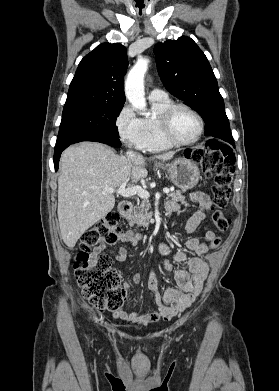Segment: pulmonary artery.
<instances>
[{"label":"pulmonary artery","mask_w":279,"mask_h":391,"mask_svg":"<svg viewBox=\"0 0 279 391\" xmlns=\"http://www.w3.org/2000/svg\"><path fill=\"white\" fill-rule=\"evenodd\" d=\"M167 97H168L167 93L159 88H154L149 92L150 100L165 99Z\"/></svg>","instance_id":"pulmonary-artery-1"}]
</instances>
